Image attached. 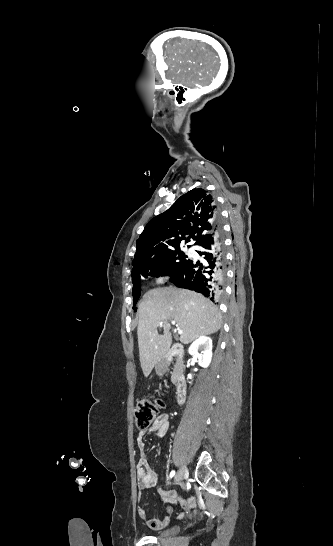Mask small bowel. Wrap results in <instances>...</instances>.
Masks as SVG:
<instances>
[{
    "instance_id": "c3829d8e",
    "label": "small bowel",
    "mask_w": 333,
    "mask_h": 546,
    "mask_svg": "<svg viewBox=\"0 0 333 546\" xmlns=\"http://www.w3.org/2000/svg\"><path fill=\"white\" fill-rule=\"evenodd\" d=\"M170 421L169 415L166 413L160 414L152 423L147 431H142L137 437V446L140 452V460L137 464L136 472L138 479L139 494L137 497L138 503L142 501L141 492L147 488H154L157 483L156 473L150 468L146 460V444L144 441V435L147 432H153L158 437H164L169 429ZM162 501L170 504H179L183 510H189L193 506L191 499L180 497L175 492H161ZM165 515L160 518H148L146 510L139 504L137 507V514L139 518L150 528L160 529L165 527L170 520V515L173 513V507L171 505L166 507ZM179 517H183L184 513L178 514Z\"/></svg>"
}]
</instances>
